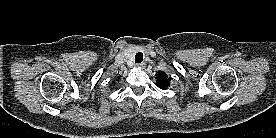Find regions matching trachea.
Instances as JSON below:
<instances>
[{
    "mask_svg": "<svg viewBox=\"0 0 276 138\" xmlns=\"http://www.w3.org/2000/svg\"><path fill=\"white\" fill-rule=\"evenodd\" d=\"M143 61V53L142 52H138L135 55V63H141Z\"/></svg>",
    "mask_w": 276,
    "mask_h": 138,
    "instance_id": "3493384b",
    "label": "trachea"
}]
</instances>
